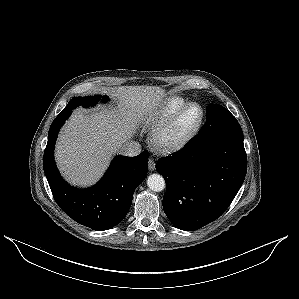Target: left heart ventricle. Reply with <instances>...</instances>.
Returning <instances> with one entry per match:
<instances>
[{"instance_id": "b2bd125f", "label": "left heart ventricle", "mask_w": 299, "mask_h": 299, "mask_svg": "<svg viewBox=\"0 0 299 299\" xmlns=\"http://www.w3.org/2000/svg\"><path fill=\"white\" fill-rule=\"evenodd\" d=\"M201 111L197 106L187 108L164 135V141L173 143L185 137L198 123Z\"/></svg>"}]
</instances>
